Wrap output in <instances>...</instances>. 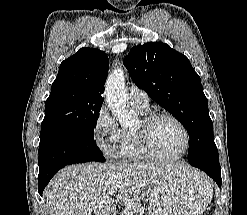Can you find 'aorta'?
<instances>
[{
    "instance_id": "762f6f07",
    "label": "aorta",
    "mask_w": 247,
    "mask_h": 215,
    "mask_svg": "<svg viewBox=\"0 0 247 215\" xmlns=\"http://www.w3.org/2000/svg\"><path fill=\"white\" fill-rule=\"evenodd\" d=\"M104 94L108 108L121 126L127 127L135 122L134 116L127 111L128 94L123 68L114 70L108 76Z\"/></svg>"
}]
</instances>
